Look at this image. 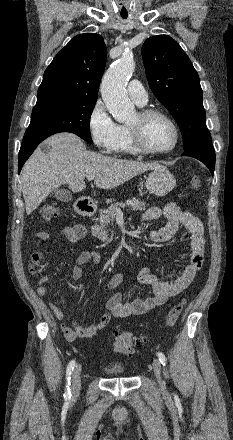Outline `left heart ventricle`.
I'll use <instances>...</instances> for the list:
<instances>
[{
  "label": "left heart ventricle",
  "instance_id": "b2bd125f",
  "mask_svg": "<svg viewBox=\"0 0 233 440\" xmlns=\"http://www.w3.org/2000/svg\"><path fill=\"white\" fill-rule=\"evenodd\" d=\"M128 126L142 128L144 140L151 149L164 150L173 143V130L162 117L154 116L146 121H141L138 114H136Z\"/></svg>",
  "mask_w": 233,
  "mask_h": 440
}]
</instances>
